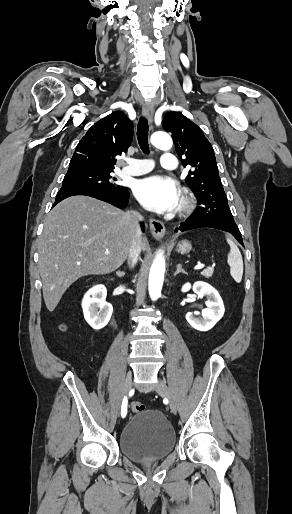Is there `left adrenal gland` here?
<instances>
[{"label": "left adrenal gland", "instance_id": "obj_1", "mask_svg": "<svg viewBox=\"0 0 292 514\" xmlns=\"http://www.w3.org/2000/svg\"><path fill=\"white\" fill-rule=\"evenodd\" d=\"M177 270L174 274V276H177V274H187V272H185V270H182V266L181 264H178V266H176Z\"/></svg>", "mask_w": 292, "mask_h": 514}]
</instances>
